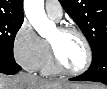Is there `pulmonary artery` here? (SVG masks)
Returning a JSON list of instances; mask_svg holds the SVG:
<instances>
[{
	"mask_svg": "<svg viewBox=\"0 0 107 89\" xmlns=\"http://www.w3.org/2000/svg\"><path fill=\"white\" fill-rule=\"evenodd\" d=\"M45 11L50 18L57 21L63 16V9L60 3L56 0H47L45 2Z\"/></svg>",
	"mask_w": 107,
	"mask_h": 89,
	"instance_id": "obj_1",
	"label": "pulmonary artery"
}]
</instances>
